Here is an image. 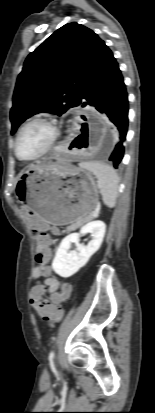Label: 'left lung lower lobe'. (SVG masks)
<instances>
[{
    "label": "left lung lower lobe",
    "instance_id": "left-lung-lower-lobe-1",
    "mask_svg": "<svg viewBox=\"0 0 155 413\" xmlns=\"http://www.w3.org/2000/svg\"><path fill=\"white\" fill-rule=\"evenodd\" d=\"M81 105L93 106L117 127L120 141L116 144L109 160L113 162L115 168H118L124 155L129 106L121 71L109 48L88 80Z\"/></svg>",
    "mask_w": 155,
    "mask_h": 413
}]
</instances>
